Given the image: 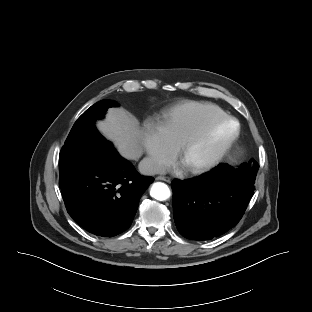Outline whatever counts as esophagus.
I'll return each mask as SVG.
<instances>
[{
	"instance_id": "esophagus-1",
	"label": "esophagus",
	"mask_w": 312,
	"mask_h": 312,
	"mask_svg": "<svg viewBox=\"0 0 312 312\" xmlns=\"http://www.w3.org/2000/svg\"><path fill=\"white\" fill-rule=\"evenodd\" d=\"M156 180L165 181L167 183L171 182L170 178L169 177H165V176H158V177H156Z\"/></svg>"
}]
</instances>
